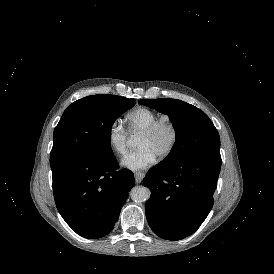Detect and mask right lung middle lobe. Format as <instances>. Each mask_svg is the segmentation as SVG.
<instances>
[{
  "instance_id": "obj_1",
  "label": "right lung middle lobe",
  "mask_w": 274,
  "mask_h": 274,
  "mask_svg": "<svg viewBox=\"0 0 274 274\" xmlns=\"http://www.w3.org/2000/svg\"><path fill=\"white\" fill-rule=\"evenodd\" d=\"M135 103L134 99L115 95H92L72 103L54 130L50 164L71 158L113 155L112 125Z\"/></svg>"
}]
</instances>
